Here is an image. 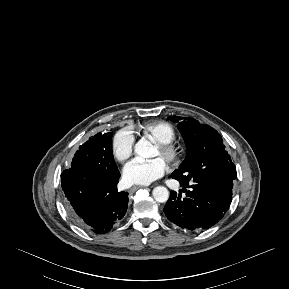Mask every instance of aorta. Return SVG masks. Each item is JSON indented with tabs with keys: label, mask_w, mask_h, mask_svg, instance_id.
I'll use <instances>...</instances> for the list:
<instances>
[{
	"label": "aorta",
	"mask_w": 289,
	"mask_h": 289,
	"mask_svg": "<svg viewBox=\"0 0 289 289\" xmlns=\"http://www.w3.org/2000/svg\"><path fill=\"white\" fill-rule=\"evenodd\" d=\"M152 145L146 140L138 141L134 146V152L143 158L150 157ZM153 198L160 203L166 202L169 198V191L166 187L157 186L153 189Z\"/></svg>",
	"instance_id": "aorta-1"
}]
</instances>
